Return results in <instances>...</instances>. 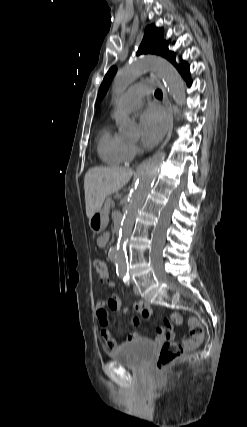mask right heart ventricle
I'll return each mask as SVG.
<instances>
[{"mask_svg": "<svg viewBox=\"0 0 247 427\" xmlns=\"http://www.w3.org/2000/svg\"><path fill=\"white\" fill-rule=\"evenodd\" d=\"M97 150L100 159L108 165H121L129 162L132 157L130 143L109 127L100 131Z\"/></svg>", "mask_w": 247, "mask_h": 427, "instance_id": "1", "label": "right heart ventricle"}]
</instances>
